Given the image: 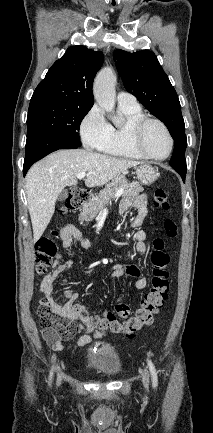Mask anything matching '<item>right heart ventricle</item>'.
I'll use <instances>...</instances> for the list:
<instances>
[{
  "label": "right heart ventricle",
  "instance_id": "right-heart-ventricle-1",
  "mask_svg": "<svg viewBox=\"0 0 213 433\" xmlns=\"http://www.w3.org/2000/svg\"><path fill=\"white\" fill-rule=\"evenodd\" d=\"M119 110L125 117V122L122 125H110L108 135L99 150L111 156L133 159L144 158L132 146L129 136L131 125L144 117L140 106L129 107L119 105Z\"/></svg>",
  "mask_w": 213,
  "mask_h": 433
}]
</instances>
